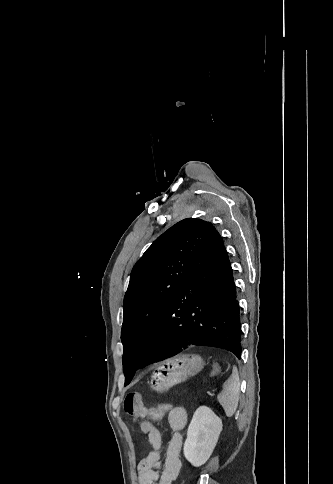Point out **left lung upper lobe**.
Returning <instances> with one entry per match:
<instances>
[{"label": "left lung upper lobe", "instance_id": "5c2ea615", "mask_svg": "<svg viewBox=\"0 0 333 484\" xmlns=\"http://www.w3.org/2000/svg\"><path fill=\"white\" fill-rule=\"evenodd\" d=\"M212 224L184 219L159 236L134 265L124 297L121 341L125 384L141 366L162 309Z\"/></svg>", "mask_w": 333, "mask_h": 484}]
</instances>
